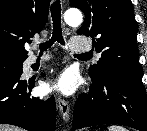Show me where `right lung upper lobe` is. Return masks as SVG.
<instances>
[{"mask_svg": "<svg viewBox=\"0 0 147 131\" xmlns=\"http://www.w3.org/2000/svg\"><path fill=\"white\" fill-rule=\"evenodd\" d=\"M50 0H0V58L26 59L24 44L40 33Z\"/></svg>", "mask_w": 147, "mask_h": 131, "instance_id": "right-lung-upper-lobe-1", "label": "right lung upper lobe"}]
</instances>
